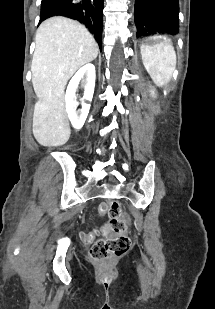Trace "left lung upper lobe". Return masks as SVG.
Here are the masks:
<instances>
[{
    "mask_svg": "<svg viewBox=\"0 0 215 309\" xmlns=\"http://www.w3.org/2000/svg\"><path fill=\"white\" fill-rule=\"evenodd\" d=\"M178 0H135L137 37L179 33Z\"/></svg>",
    "mask_w": 215,
    "mask_h": 309,
    "instance_id": "5c2ea615",
    "label": "left lung upper lobe"
}]
</instances>
